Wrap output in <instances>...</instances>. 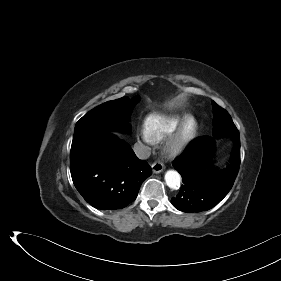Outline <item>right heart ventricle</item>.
Returning <instances> with one entry per match:
<instances>
[{
    "label": "right heart ventricle",
    "instance_id": "1",
    "mask_svg": "<svg viewBox=\"0 0 281 281\" xmlns=\"http://www.w3.org/2000/svg\"><path fill=\"white\" fill-rule=\"evenodd\" d=\"M187 116L151 113L144 121V133L150 141H161L170 136Z\"/></svg>",
    "mask_w": 281,
    "mask_h": 281
}]
</instances>
